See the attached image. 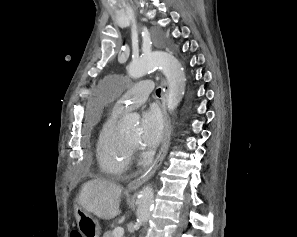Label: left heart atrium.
<instances>
[{
  "label": "left heart atrium",
  "instance_id": "left-heart-atrium-1",
  "mask_svg": "<svg viewBox=\"0 0 297 237\" xmlns=\"http://www.w3.org/2000/svg\"><path fill=\"white\" fill-rule=\"evenodd\" d=\"M164 121L160 111L151 107L141 114L137 144L144 149L155 148L162 140Z\"/></svg>",
  "mask_w": 297,
  "mask_h": 237
}]
</instances>
